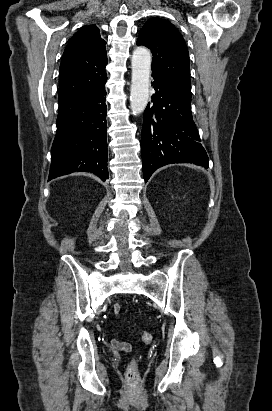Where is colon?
Returning <instances> with one entry per match:
<instances>
[{"label":"colon","instance_id":"colon-1","mask_svg":"<svg viewBox=\"0 0 272 411\" xmlns=\"http://www.w3.org/2000/svg\"><path fill=\"white\" fill-rule=\"evenodd\" d=\"M142 340L145 343H150L153 339L152 333L148 331L142 332ZM127 384L129 387H137L140 382L139 372H138V364L136 360H132L127 368Z\"/></svg>","mask_w":272,"mask_h":411}]
</instances>
